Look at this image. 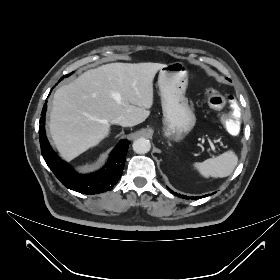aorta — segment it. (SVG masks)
<instances>
[{"instance_id":"aorta-1","label":"aorta","mask_w":280,"mask_h":280,"mask_svg":"<svg viewBox=\"0 0 280 280\" xmlns=\"http://www.w3.org/2000/svg\"><path fill=\"white\" fill-rule=\"evenodd\" d=\"M133 150L137 154H145L150 151L151 144L146 138H139L133 142Z\"/></svg>"}]
</instances>
